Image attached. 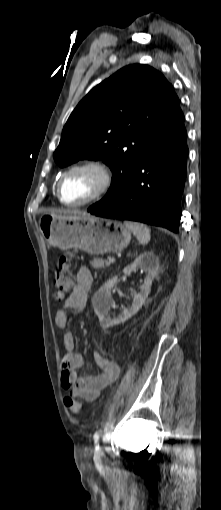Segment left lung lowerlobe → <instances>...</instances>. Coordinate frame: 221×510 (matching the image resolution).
<instances>
[{"label":"left lung lower lobe","mask_w":221,"mask_h":510,"mask_svg":"<svg viewBox=\"0 0 221 510\" xmlns=\"http://www.w3.org/2000/svg\"><path fill=\"white\" fill-rule=\"evenodd\" d=\"M186 129L154 146L127 187L113 200L88 208L93 215L143 222L179 232L186 179Z\"/></svg>","instance_id":"1"}]
</instances>
